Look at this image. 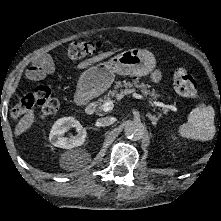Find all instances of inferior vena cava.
Returning a JSON list of instances; mask_svg holds the SVG:
<instances>
[{
    "label": "inferior vena cava",
    "instance_id": "602c4592",
    "mask_svg": "<svg viewBox=\"0 0 221 221\" xmlns=\"http://www.w3.org/2000/svg\"><path fill=\"white\" fill-rule=\"evenodd\" d=\"M98 123L100 126H109L113 123V120L111 117H103L98 119Z\"/></svg>",
    "mask_w": 221,
    "mask_h": 221
}]
</instances>
